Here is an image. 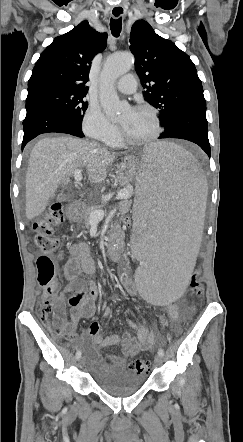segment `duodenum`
I'll return each mask as SVG.
<instances>
[{
	"label": "duodenum",
	"instance_id": "410a0bca",
	"mask_svg": "<svg viewBox=\"0 0 243 442\" xmlns=\"http://www.w3.org/2000/svg\"><path fill=\"white\" fill-rule=\"evenodd\" d=\"M72 212L76 211V205L74 204L72 206ZM124 239V233L123 231H118L115 235H114V239L110 242V248L108 250V254L110 257L112 258H116L118 257L121 253H122V241Z\"/></svg>",
	"mask_w": 243,
	"mask_h": 442
}]
</instances>
